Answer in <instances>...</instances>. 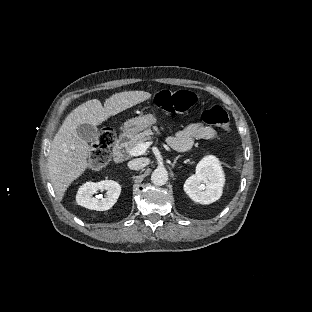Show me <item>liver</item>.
<instances>
[{
    "mask_svg": "<svg viewBox=\"0 0 312 312\" xmlns=\"http://www.w3.org/2000/svg\"><path fill=\"white\" fill-rule=\"evenodd\" d=\"M151 97L145 91H125L105 100L104 106L97 99L89 100L75 108L64 120L56 133L48 156V172L59 200H62L69 185L88 167L90 151L88 143L77 134L81 124L100 125L116 115Z\"/></svg>",
    "mask_w": 312,
    "mask_h": 312,
    "instance_id": "6515ba94",
    "label": "liver"
}]
</instances>
